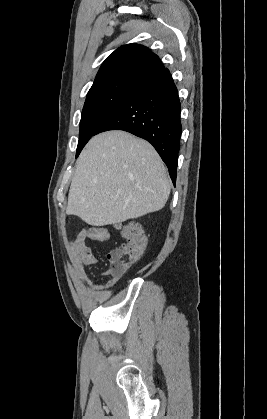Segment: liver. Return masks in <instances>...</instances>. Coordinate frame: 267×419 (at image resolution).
<instances>
[{
	"mask_svg": "<svg viewBox=\"0 0 267 419\" xmlns=\"http://www.w3.org/2000/svg\"><path fill=\"white\" fill-rule=\"evenodd\" d=\"M170 190L166 167L150 143L107 131L91 138L76 161L66 214L92 226L121 223L161 210Z\"/></svg>",
	"mask_w": 267,
	"mask_h": 419,
	"instance_id": "liver-1",
	"label": "liver"
}]
</instances>
